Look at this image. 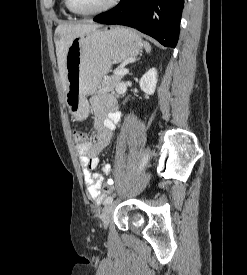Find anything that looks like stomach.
I'll use <instances>...</instances> for the list:
<instances>
[{"label": "stomach", "instance_id": "stomach-1", "mask_svg": "<svg viewBox=\"0 0 247 275\" xmlns=\"http://www.w3.org/2000/svg\"><path fill=\"white\" fill-rule=\"evenodd\" d=\"M142 40L133 30L109 27L76 37L66 58V104L72 116L84 120L89 115L87 96L93 94L112 67L139 55Z\"/></svg>", "mask_w": 247, "mask_h": 275}]
</instances>
